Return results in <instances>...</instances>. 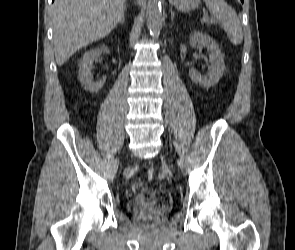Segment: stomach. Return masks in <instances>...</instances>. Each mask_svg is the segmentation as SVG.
<instances>
[{
    "instance_id": "1",
    "label": "stomach",
    "mask_w": 295,
    "mask_h": 250,
    "mask_svg": "<svg viewBox=\"0 0 295 250\" xmlns=\"http://www.w3.org/2000/svg\"><path fill=\"white\" fill-rule=\"evenodd\" d=\"M169 3L181 11H191L198 7L200 0H169Z\"/></svg>"
}]
</instances>
